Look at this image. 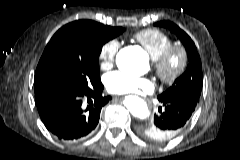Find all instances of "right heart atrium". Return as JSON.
<instances>
[{"label": "right heart atrium", "mask_w": 240, "mask_h": 160, "mask_svg": "<svg viewBox=\"0 0 240 160\" xmlns=\"http://www.w3.org/2000/svg\"><path fill=\"white\" fill-rule=\"evenodd\" d=\"M119 49V42L116 39L109 40L100 49L99 61L102 69H109L113 66Z\"/></svg>", "instance_id": "obj_1"}]
</instances>
